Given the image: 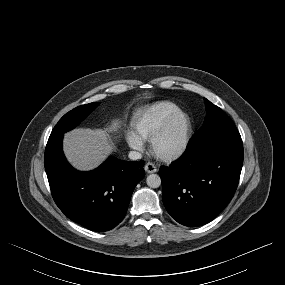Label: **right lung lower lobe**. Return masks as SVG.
I'll use <instances>...</instances> for the list:
<instances>
[{
	"label": "right lung lower lobe",
	"instance_id": "1",
	"mask_svg": "<svg viewBox=\"0 0 285 285\" xmlns=\"http://www.w3.org/2000/svg\"><path fill=\"white\" fill-rule=\"evenodd\" d=\"M63 133L51 134L44 165L52 196L69 219L92 230L108 231L124 218L144 162L108 158L90 172L75 170L62 150Z\"/></svg>",
	"mask_w": 285,
	"mask_h": 285
}]
</instances>
